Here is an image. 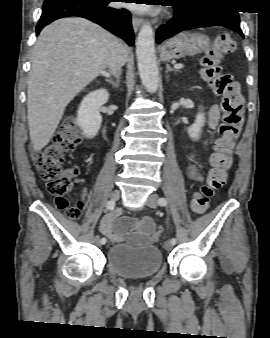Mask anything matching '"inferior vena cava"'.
I'll return each instance as SVG.
<instances>
[{"mask_svg":"<svg viewBox=\"0 0 270 338\" xmlns=\"http://www.w3.org/2000/svg\"><path fill=\"white\" fill-rule=\"evenodd\" d=\"M126 60L127 53L124 46L121 43L115 45L111 50L108 61L110 73L114 76L119 74L121 71V67L125 64Z\"/></svg>","mask_w":270,"mask_h":338,"instance_id":"inferior-vena-cava-1","label":"inferior vena cava"}]
</instances>
